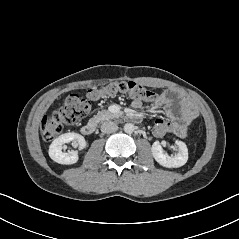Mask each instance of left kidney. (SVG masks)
Instances as JSON below:
<instances>
[{
    "instance_id": "left-kidney-1",
    "label": "left kidney",
    "mask_w": 239,
    "mask_h": 239,
    "mask_svg": "<svg viewBox=\"0 0 239 239\" xmlns=\"http://www.w3.org/2000/svg\"><path fill=\"white\" fill-rule=\"evenodd\" d=\"M178 153L175 156H168L162 149L161 144L155 141L151 152L154 159L162 166L167 168H178L183 166L188 160V149L184 142L176 140Z\"/></svg>"
}]
</instances>
